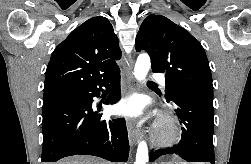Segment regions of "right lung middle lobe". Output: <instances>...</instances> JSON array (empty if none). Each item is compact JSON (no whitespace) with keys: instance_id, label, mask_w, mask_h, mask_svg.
Wrapping results in <instances>:
<instances>
[{"instance_id":"obj_1","label":"right lung middle lobe","mask_w":251,"mask_h":164,"mask_svg":"<svg viewBox=\"0 0 251 164\" xmlns=\"http://www.w3.org/2000/svg\"><path fill=\"white\" fill-rule=\"evenodd\" d=\"M64 90L65 89H60V90H54V91L46 92V93H44L43 98H47V97H49L51 95H55V94H61V93H63Z\"/></svg>"}]
</instances>
